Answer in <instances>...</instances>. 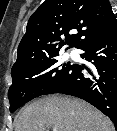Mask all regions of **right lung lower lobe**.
<instances>
[{
	"instance_id": "98d812e1",
	"label": "right lung lower lobe",
	"mask_w": 117,
	"mask_h": 131,
	"mask_svg": "<svg viewBox=\"0 0 117 131\" xmlns=\"http://www.w3.org/2000/svg\"><path fill=\"white\" fill-rule=\"evenodd\" d=\"M89 67L73 64L62 84L49 94L79 97L107 115L117 130V28L82 48Z\"/></svg>"
}]
</instances>
